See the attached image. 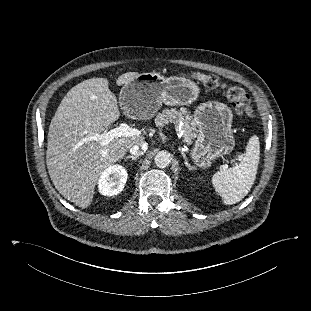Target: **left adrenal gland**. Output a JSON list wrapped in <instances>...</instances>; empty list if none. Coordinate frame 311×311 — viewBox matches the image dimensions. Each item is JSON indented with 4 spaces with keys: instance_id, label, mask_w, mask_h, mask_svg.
Instances as JSON below:
<instances>
[{
    "instance_id": "1",
    "label": "left adrenal gland",
    "mask_w": 311,
    "mask_h": 311,
    "mask_svg": "<svg viewBox=\"0 0 311 311\" xmlns=\"http://www.w3.org/2000/svg\"><path fill=\"white\" fill-rule=\"evenodd\" d=\"M179 151H180L181 155H182L183 158H184L185 166H186L189 170H191V169H192V168H191V165L188 163V160H187V157H186L185 153L183 152V150H182L181 148H179Z\"/></svg>"
}]
</instances>
